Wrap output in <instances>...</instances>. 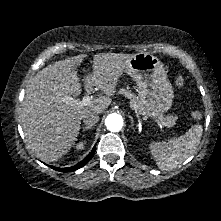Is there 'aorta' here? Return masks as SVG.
<instances>
[{"instance_id":"aorta-1","label":"aorta","mask_w":221,"mask_h":221,"mask_svg":"<svg viewBox=\"0 0 221 221\" xmlns=\"http://www.w3.org/2000/svg\"><path fill=\"white\" fill-rule=\"evenodd\" d=\"M107 129L111 132H118L122 129L123 119L119 114H110L105 120Z\"/></svg>"}]
</instances>
